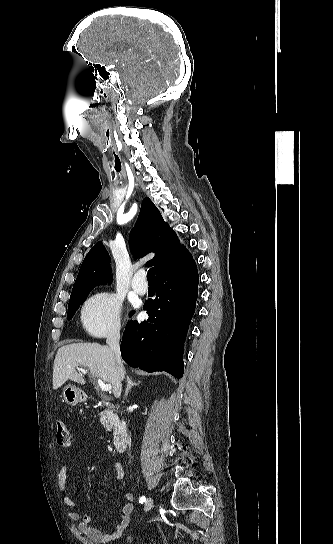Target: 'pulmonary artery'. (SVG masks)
<instances>
[{"label": "pulmonary artery", "instance_id": "obj_1", "mask_svg": "<svg viewBox=\"0 0 333 544\" xmlns=\"http://www.w3.org/2000/svg\"><path fill=\"white\" fill-rule=\"evenodd\" d=\"M132 287L135 292H137L140 295H144L148 291V284L145 281V274L144 272L140 271L137 272L132 280Z\"/></svg>", "mask_w": 333, "mask_h": 544}]
</instances>
